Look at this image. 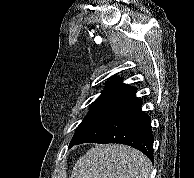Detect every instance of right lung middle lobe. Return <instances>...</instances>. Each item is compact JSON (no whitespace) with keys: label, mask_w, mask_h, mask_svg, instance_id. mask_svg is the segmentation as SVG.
Instances as JSON below:
<instances>
[{"label":"right lung middle lobe","mask_w":194,"mask_h":178,"mask_svg":"<svg viewBox=\"0 0 194 178\" xmlns=\"http://www.w3.org/2000/svg\"><path fill=\"white\" fill-rule=\"evenodd\" d=\"M124 104L114 101L95 100L80 125L77 127L75 135L73 136L71 143L79 140L84 134L91 130L94 126L100 123L102 120L107 118L117 109Z\"/></svg>","instance_id":"obj_1"}]
</instances>
